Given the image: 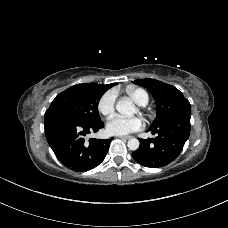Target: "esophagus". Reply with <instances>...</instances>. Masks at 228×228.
<instances>
[{"label":"esophagus","instance_id":"1","mask_svg":"<svg viewBox=\"0 0 228 228\" xmlns=\"http://www.w3.org/2000/svg\"><path fill=\"white\" fill-rule=\"evenodd\" d=\"M119 138H121V139H131L132 138V136H118Z\"/></svg>","mask_w":228,"mask_h":228}]
</instances>
